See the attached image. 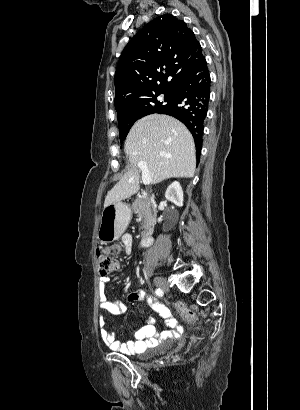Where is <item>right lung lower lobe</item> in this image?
I'll use <instances>...</instances> for the list:
<instances>
[{
  "instance_id": "1",
  "label": "right lung lower lobe",
  "mask_w": 300,
  "mask_h": 410,
  "mask_svg": "<svg viewBox=\"0 0 300 410\" xmlns=\"http://www.w3.org/2000/svg\"><path fill=\"white\" fill-rule=\"evenodd\" d=\"M210 83L207 63L205 58H202L177 81L173 90V101L157 111V113L173 116L187 126L194 137L197 161L202 147Z\"/></svg>"
}]
</instances>
